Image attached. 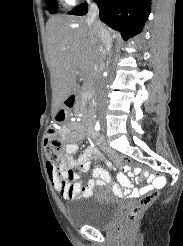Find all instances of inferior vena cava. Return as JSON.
Masks as SVG:
<instances>
[{
    "label": "inferior vena cava",
    "instance_id": "1",
    "mask_svg": "<svg viewBox=\"0 0 183 246\" xmlns=\"http://www.w3.org/2000/svg\"><path fill=\"white\" fill-rule=\"evenodd\" d=\"M88 23L92 27L95 36L101 43L100 59L95 66L96 72V101L99 110L106 107L105 83L102 72L105 67V60L110 54L112 38L107 28L99 20V8L97 4L91 3L88 10Z\"/></svg>",
    "mask_w": 183,
    "mask_h": 246
}]
</instances>
